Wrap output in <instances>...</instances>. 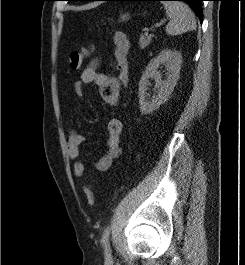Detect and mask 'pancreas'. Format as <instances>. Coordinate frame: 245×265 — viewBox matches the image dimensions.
Wrapping results in <instances>:
<instances>
[{
	"label": "pancreas",
	"instance_id": "pancreas-1",
	"mask_svg": "<svg viewBox=\"0 0 245 265\" xmlns=\"http://www.w3.org/2000/svg\"><path fill=\"white\" fill-rule=\"evenodd\" d=\"M152 39V35H141L139 39V47L140 49L146 48Z\"/></svg>",
	"mask_w": 245,
	"mask_h": 265
}]
</instances>
